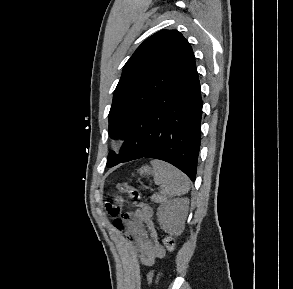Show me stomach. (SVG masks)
<instances>
[{
  "label": "stomach",
  "instance_id": "stomach-1",
  "mask_svg": "<svg viewBox=\"0 0 293 289\" xmlns=\"http://www.w3.org/2000/svg\"><path fill=\"white\" fill-rule=\"evenodd\" d=\"M138 172L140 175H150L153 173V170L148 165H145L138 169Z\"/></svg>",
  "mask_w": 293,
  "mask_h": 289
}]
</instances>
